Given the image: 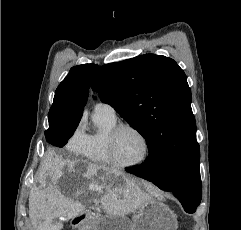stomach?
Listing matches in <instances>:
<instances>
[{
    "label": "stomach",
    "instance_id": "1",
    "mask_svg": "<svg viewBox=\"0 0 241 230\" xmlns=\"http://www.w3.org/2000/svg\"><path fill=\"white\" fill-rule=\"evenodd\" d=\"M125 176L111 175V182L119 183ZM80 230H177V218L171 209L157 200H149L134 212L133 220L108 216L94 223H84Z\"/></svg>",
    "mask_w": 241,
    "mask_h": 230
}]
</instances>
